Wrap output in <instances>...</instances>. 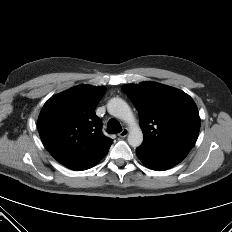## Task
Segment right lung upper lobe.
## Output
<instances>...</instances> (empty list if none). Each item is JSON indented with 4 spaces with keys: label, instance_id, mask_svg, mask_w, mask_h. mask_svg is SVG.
Returning a JSON list of instances; mask_svg holds the SVG:
<instances>
[{
    "label": "right lung upper lobe",
    "instance_id": "cb5924a9",
    "mask_svg": "<svg viewBox=\"0 0 232 232\" xmlns=\"http://www.w3.org/2000/svg\"><path fill=\"white\" fill-rule=\"evenodd\" d=\"M105 87L78 86L51 97L38 118L40 138L50 154L71 169L98 163L113 140L101 132L95 107Z\"/></svg>",
    "mask_w": 232,
    "mask_h": 232
}]
</instances>
